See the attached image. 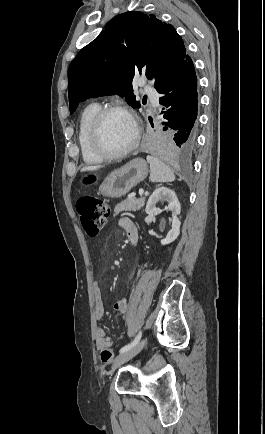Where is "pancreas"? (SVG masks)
Returning <instances> with one entry per match:
<instances>
[{"label": "pancreas", "mask_w": 265, "mask_h": 434, "mask_svg": "<svg viewBox=\"0 0 265 434\" xmlns=\"http://www.w3.org/2000/svg\"><path fill=\"white\" fill-rule=\"evenodd\" d=\"M145 200L144 196H141V198H131V200H123V202L115 206L114 212L115 214L117 212H137V210L143 208Z\"/></svg>", "instance_id": "cf45deb5"}]
</instances>
